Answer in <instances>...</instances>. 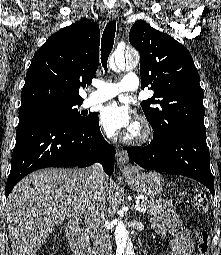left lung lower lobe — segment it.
<instances>
[{
  "mask_svg": "<svg viewBox=\"0 0 221 255\" xmlns=\"http://www.w3.org/2000/svg\"><path fill=\"white\" fill-rule=\"evenodd\" d=\"M128 155L140 168L193 178L214 195L206 131L182 127L172 133L154 134L149 145L128 149Z\"/></svg>",
  "mask_w": 221,
  "mask_h": 255,
  "instance_id": "obj_1",
  "label": "left lung lower lobe"
}]
</instances>
